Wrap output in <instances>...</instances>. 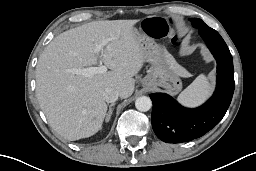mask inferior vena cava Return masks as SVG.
<instances>
[{
  "label": "inferior vena cava",
  "instance_id": "obj_1",
  "mask_svg": "<svg viewBox=\"0 0 256 171\" xmlns=\"http://www.w3.org/2000/svg\"><path fill=\"white\" fill-rule=\"evenodd\" d=\"M103 97L107 103H114L118 99L119 93H118V91H116L112 88H107L103 92Z\"/></svg>",
  "mask_w": 256,
  "mask_h": 171
}]
</instances>
